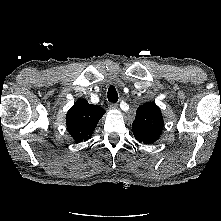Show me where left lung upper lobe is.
Here are the masks:
<instances>
[{
	"label": "left lung upper lobe",
	"mask_w": 221,
	"mask_h": 221,
	"mask_svg": "<svg viewBox=\"0 0 221 221\" xmlns=\"http://www.w3.org/2000/svg\"><path fill=\"white\" fill-rule=\"evenodd\" d=\"M163 126L160 108L154 102H148L137 109L132 129L137 141L152 144L159 139Z\"/></svg>",
	"instance_id": "5c2ea615"
}]
</instances>
